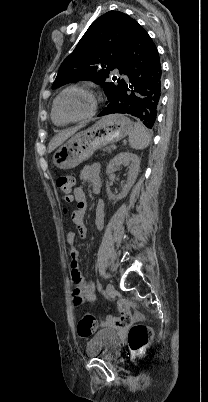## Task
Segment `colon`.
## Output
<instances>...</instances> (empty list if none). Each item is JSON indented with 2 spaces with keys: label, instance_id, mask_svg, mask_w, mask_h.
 <instances>
[{
  "label": "colon",
  "instance_id": "5ec220e1",
  "mask_svg": "<svg viewBox=\"0 0 208 402\" xmlns=\"http://www.w3.org/2000/svg\"><path fill=\"white\" fill-rule=\"evenodd\" d=\"M76 183L73 176H57L55 179L56 188L65 202L72 201V193ZM119 315L110 316L108 321L119 327H129V343L133 351L141 349L152 338L153 331L150 324H134L132 318V303L129 297L119 298ZM107 321V322H108ZM98 325L97 319L92 314L84 315L77 324L78 334L81 338H89Z\"/></svg>",
  "mask_w": 208,
  "mask_h": 402
}]
</instances>
